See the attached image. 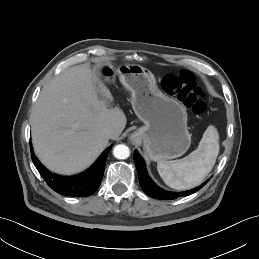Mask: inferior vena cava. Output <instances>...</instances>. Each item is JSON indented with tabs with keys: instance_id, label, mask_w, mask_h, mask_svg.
<instances>
[{
	"instance_id": "obj_1",
	"label": "inferior vena cava",
	"mask_w": 259,
	"mask_h": 259,
	"mask_svg": "<svg viewBox=\"0 0 259 259\" xmlns=\"http://www.w3.org/2000/svg\"><path fill=\"white\" fill-rule=\"evenodd\" d=\"M104 133L107 135L108 138L112 139L116 135V131L113 128H105Z\"/></svg>"
}]
</instances>
